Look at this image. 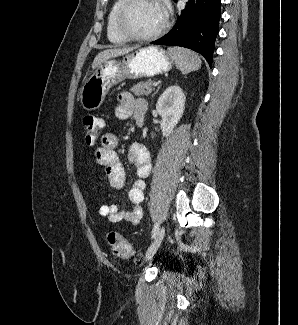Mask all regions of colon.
<instances>
[{
	"mask_svg": "<svg viewBox=\"0 0 298 325\" xmlns=\"http://www.w3.org/2000/svg\"><path fill=\"white\" fill-rule=\"evenodd\" d=\"M84 139L87 145H94L104 126L102 118L88 114L83 118ZM107 241L113 251V254L121 259H129L135 256L132 245L119 233L111 231L108 233Z\"/></svg>",
	"mask_w": 298,
	"mask_h": 325,
	"instance_id": "obj_1",
	"label": "colon"
}]
</instances>
